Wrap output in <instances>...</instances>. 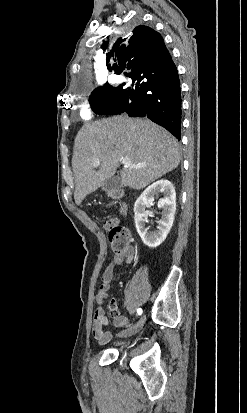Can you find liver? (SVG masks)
Masks as SVG:
<instances>
[{
    "mask_svg": "<svg viewBox=\"0 0 247 413\" xmlns=\"http://www.w3.org/2000/svg\"><path fill=\"white\" fill-rule=\"evenodd\" d=\"M123 158L130 164L120 170L122 186L140 190L178 166L179 144L168 130L148 118L120 114L94 122L84 120L72 158L76 204L113 176ZM95 160H100L99 170H94Z\"/></svg>",
    "mask_w": 247,
    "mask_h": 413,
    "instance_id": "1",
    "label": "liver"
}]
</instances>
